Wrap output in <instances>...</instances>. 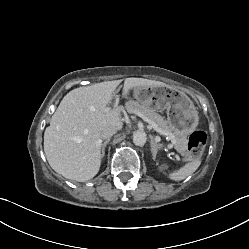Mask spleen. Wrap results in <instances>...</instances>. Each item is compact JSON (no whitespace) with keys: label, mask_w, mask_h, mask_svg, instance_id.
I'll list each match as a JSON object with an SVG mask.
<instances>
[{"label":"spleen","mask_w":249,"mask_h":249,"mask_svg":"<svg viewBox=\"0 0 249 249\" xmlns=\"http://www.w3.org/2000/svg\"><path fill=\"white\" fill-rule=\"evenodd\" d=\"M201 160L196 159L181 167L178 170L171 172L168 177L174 181H181L193 174L200 166Z\"/></svg>","instance_id":"obj_1"}]
</instances>
